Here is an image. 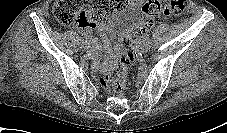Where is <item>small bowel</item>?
Instances as JSON below:
<instances>
[{"label":"small bowel","instance_id":"c3829d8e","mask_svg":"<svg viewBox=\"0 0 227 133\" xmlns=\"http://www.w3.org/2000/svg\"><path fill=\"white\" fill-rule=\"evenodd\" d=\"M132 3L139 4L141 3V0H132ZM96 27L95 23L91 26H83L79 24V29L82 33V35L90 42L92 45L94 51H95V61L99 62V55H98V43L93 37V29ZM144 33L140 34L137 39H141L143 37Z\"/></svg>","mask_w":227,"mask_h":133}]
</instances>
